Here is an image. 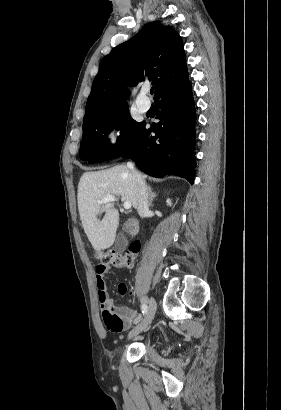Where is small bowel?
Returning <instances> with one entry per match:
<instances>
[{"mask_svg":"<svg viewBox=\"0 0 281 410\" xmlns=\"http://www.w3.org/2000/svg\"><path fill=\"white\" fill-rule=\"evenodd\" d=\"M94 270L95 282L97 286V298L102 311H109L116 314L122 319V327L118 330H115V332H121L128 329L130 325L136 320L137 313L125 306H115L112 299L110 298L105 283V276L110 270V265L97 263L94 267ZM118 293L122 296L128 293L126 284L120 283L118 285ZM129 295H131V293H129Z\"/></svg>","mask_w":281,"mask_h":410,"instance_id":"1","label":"small bowel"}]
</instances>
